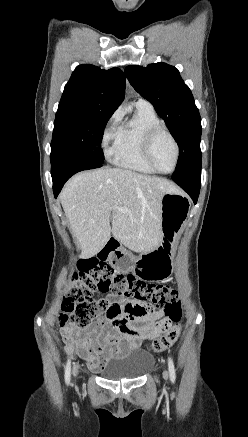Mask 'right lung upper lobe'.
<instances>
[{"instance_id": "1", "label": "right lung upper lobe", "mask_w": 248, "mask_h": 437, "mask_svg": "<svg viewBox=\"0 0 248 437\" xmlns=\"http://www.w3.org/2000/svg\"><path fill=\"white\" fill-rule=\"evenodd\" d=\"M125 76L119 68L76 67L65 85L59 107L96 115H112L124 99Z\"/></svg>"}]
</instances>
